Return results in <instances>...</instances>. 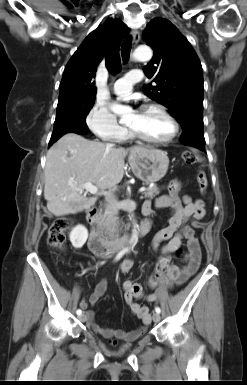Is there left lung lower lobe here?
Wrapping results in <instances>:
<instances>
[{
  "mask_svg": "<svg viewBox=\"0 0 247 385\" xmlns=\"http://www.w3.org/2000/svg\"><path fill=\"white\" fill-rule=\"evenodd\" d=\"M182 144L205 151L204 126L191 125L183 129Z\"/></svg>",
  "mask_w": 247,
  "mask_h": 385,
  "instance_id": "obj_1",
  "label": "left lung lower lobe"
}]
</instances>
